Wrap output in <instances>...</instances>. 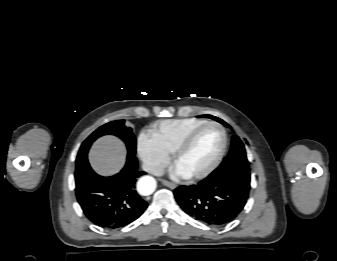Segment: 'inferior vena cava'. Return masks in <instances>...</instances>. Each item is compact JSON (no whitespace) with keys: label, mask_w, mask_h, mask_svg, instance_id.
Masks as SVG:
<instances>
[{"label":"inferior vena cava","mask_w":337,"mask_h":261,"mask_svg":"<svg viewBox=\"0 0 337 261\" xmlns=\"http://www.w3.org/2000/svg\"><path fill=\"white\" fill-rule=\"evenodd\" d=\"M142 169L155 176H162L164 174V168L158 164L143 163Z\"/></svg>","instance_id":"1"}]
</instances>
